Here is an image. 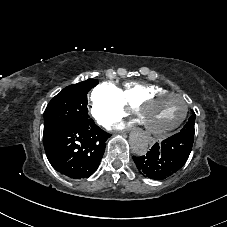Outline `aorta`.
<instances>
[{
    "label": "aorta",
    "mask_w": 227,
    "mask_h": 227,
    "mask_svg": "<svg viewBox=\"0 0 227 227\" xmlns=\"http://www.w3.org/2000/svg\"><path fill=\"white\" fill-rule=\"evenodd\" d=\"M148 146V141L144 136H137L131 140V150L136 156L145 155Z\"/></svg>",
    "instance_id": "1"
}]
</instances>
